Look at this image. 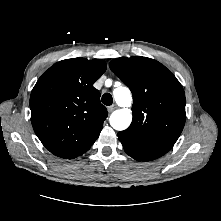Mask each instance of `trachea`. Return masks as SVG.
<instances>
[{
	"label": "trachea",
	"mask_w": 221,
	"mask_h": 221,
	"mask_svg": "<svg viewBox=\"0 0 221 221\" xmlns=\"http://www.w3.org/2000/svg\"><path fill=\"white\" fill-rule=\"evenodd\" d=\"M102 103L107 106L112 105V103H113L112 95L110 93H105L102 96Z\"/></svg>",
	"instance_id": "trachea-1"
}]
</instances>
